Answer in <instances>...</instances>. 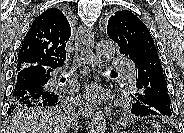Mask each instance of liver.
<instances>
[{
    "mask_svg": "<svg viewBox=\"0 0 184 133\" xmlns=\"http://www.w3.org/2000/svg\"><path fill=\"white\" fill-rule=\"evenodd\" d=\"M64 120L55 112L43 108L17 114L7 133H66Z\"/></svg>",
    "mask_w": 184,
    "mask_h": 133,
    "instance_id": "liver-1",
    "label": "liver"
}]
</instances>
